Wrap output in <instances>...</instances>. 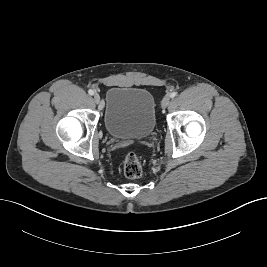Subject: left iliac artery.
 <instances>
[{
	"instance_id": "1",
	"label": "left iliac artery",
	"mask_w": 267,
	"mask_h": 267,
	"mask_svg": "<svg viewBox=\"0 0 267 267\" xmlns=\"http://www.w3.org/2000/svg\"><path fill=\"white\" fill-rule=\"evenodd\" d=\"M176 95H177L176 92H172V93L170 94V97H171V98H174Z\"/></svg>"
}]
</instances>
